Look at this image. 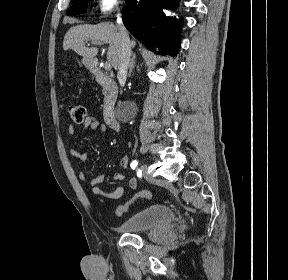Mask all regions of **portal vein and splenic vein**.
I'll return each mask as SVG.
<instances>
[{"mask_svg":"<svg viewBox=\"0 0 288 280\" xmlns=\"http://www.w3.org/2000/svg\"><path fill=\"white\" fill-rule=\"evenodd\" d=\"M94 45H101V43L100 42H92ZM104 69L105 70H111V63L110 62H106L105 64H104Z\"/></svg>","mask_w":288,"mask_h":280,"instance_id":"1","label":"portal vein and splenic vein"}]
</instances>
